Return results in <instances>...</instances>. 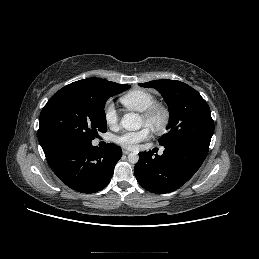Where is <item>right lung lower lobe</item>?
<instances>
[{
  "label": "right lung lower lobe",
  "mask_w": 259,
  "mask_h": 259,
  "mask_svg": "<svg viewBox=\"0 0 259 259\" xmlns=\"http://www.w3.org/2000/svg\"><path fill=\"white\" fill-rule=\"evenodd\" d=\"M53 172L68 187L81 193H95L110 182L114 167L122 156L119 147L109 144L104 149L91 141L57 139L42 146Z\"/></svg>",
  "instance_id": "98d812e1"
}]
</instances>
